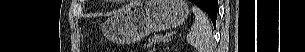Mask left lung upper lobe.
Wrapping results in <instances>:
<instances>
[{"instance_id":"1","label":"left lung upper lobe","mask_w":305,"mask_h":52,"mask_svg":"<svg viewBox=\"0 0 305 52\" xmlns=\"http://www.w3.org/2000/svg\"><path fill=\"white\" fill-rule=\"evenodd\" d=\"M198 1L200 2L201 0H198ZM209 17H210L211 19L216 20V19H217V13L210 12V13H209Z\"/></svg>"}]
</instances>
